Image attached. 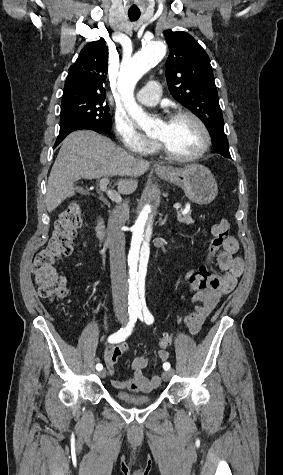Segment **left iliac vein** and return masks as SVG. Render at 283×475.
Returning a JSON list of instances; mask_svg holds the SVG:
<instances>
[{
  "mask_svg": "<svg viewBox=\"0 0 283 475\" xmlns=\"http://www.w3.org/2000/svg\"><path fill=\"white\" fill-rule=\"evenodd\" d=\"M173 374H174V371H173V370H171V371H164V372L162 373V379H163V381H168V380L171 378V376H172Z\"/></svg>",
  "mask_w": 283,
  "mask_h": 475,
  "instance_id": "left-iliac-vein-1",
  "label": "left iliac vein"
}]
</instances>
